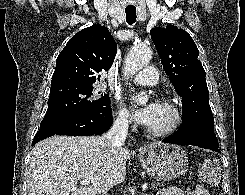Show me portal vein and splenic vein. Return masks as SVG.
<instances>
[{
  "instance_id": "18ae733b",
  "label": "portal vein and splenic vein",
  "mask_w": 245,
  "mask_h": 195,
  "mask_svg": "<svg viewBox=\"0 0 245 195\" xmlns=\"http://www.w3.org/2000/svg\"><path fill=\"white\" fill-rule=\"evenodd\" d=\"M80 183H81L82 185H86V184H89L90 181H89V180H82V181H80ZM147 187H148V184H144V185L142 186V190L147 189Z\"/></svg>"
}]
</instances>
